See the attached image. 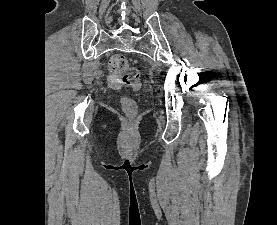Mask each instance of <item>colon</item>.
<instances>
[{"label": "colon", "instance_id": "5ec220e1", "mask_svg": "<svg viewBox=\"0 0 277 225\" xmlns=\"http://www.w3.org/2000/svg\"><path fill=\"white\" fill-rule=\"evenodd\" d=\"M109 69L125 87L137 88L139 86V72L136 68L130 66L123 54H116L110 58ZM121 108L129 117H134L137 113L136 102L128 97L121 99Z\"/></svg>", "mask_w": 277, "mask_h": 225}]
</instances>
